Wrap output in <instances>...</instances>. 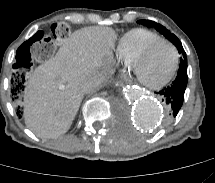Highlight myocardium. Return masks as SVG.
Segmentation results:
<instances>
[{
  "instance_id": "1",
  "label": "myocardium",
  "mask_w": 215,
  "mask_h": 183,
  "mask_svg": "<svg viewBox=\"0 0 215 183\" xmlns=\"http://www.w3.org/2000/svg\"><path fill=\"white\" fill-rule=\"evenodd\" d=\"M161 43H165L168 44L174 51L175 54V62H174V67L171 71V73L168 75V77H166L162 82L157 83V84H148L146 82H144L140 75H139V71H138V65L141 61H143L145 59V57L150 53V51L157 45L161 44ZM179 63H180V53L177 49V47L169 40L167 39H159L156 40L152 43H150L149 45H147L138 55L137 57L132 61L131 65H130V70L132 75L134 76L136 82L143 86L144 88L148 89V90H152V91H158L163 89L164 87H166L176 76L178 69H179Z\"/></svg>"
}]
</instances>
